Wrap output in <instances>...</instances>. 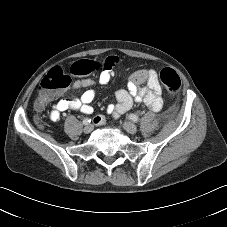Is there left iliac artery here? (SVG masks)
I'll list each match as a JSON object with an SVG mask.
<instances>
[{
	"label": "left iliac artery",
	"instance_id": "44dca946",
	"mask_svg": "<svg viewBox=\"0 0 227 227\" xmlns=\"http://www.w3.org/2000/svg\"><path fill=\"white\" fill-rule=\"evenodd\" d=\"M129 119L134 121V122H138L139 121V117L135 114H130L129 115Z\"/></svg>",
	"mask_w": 227,
	"mask_h": 227
}]
</instances>
